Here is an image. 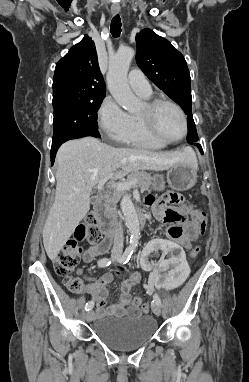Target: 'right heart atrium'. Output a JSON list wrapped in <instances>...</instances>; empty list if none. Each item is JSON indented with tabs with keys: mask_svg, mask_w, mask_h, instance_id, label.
Listing matches in <instances>:
<instances>
[{
	"mask_svg": "<svg viewBox=\"0 0 249 382\" xmlns=\"http://www.w3.org/2000/svg\"><path fill=\"white\" fill-rule=\"evenodd\" d=\"M97 121L101 133L115 141L128 135L131 127L130 115L111 96L102 101L97 112Z\"/></svg>",
	"mask_w": 249,
	"mask_h": 382,
	"instance_id": "right-heart-atrium-1",
	"label": "right heart atrium"
}]
</instances>
